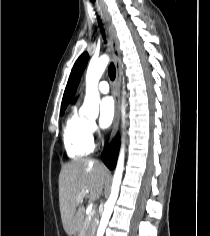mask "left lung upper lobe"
I'll return each instance as SVG.
<instances>
[{
    "label": "left lung upper lobe",
    "mask_w": 210,
    "mask_h": 236,
    "mask_svg": "<svg viewBox=\"0 0 210 236\" xmlns=\"http://www.w3.org/2000/svg\"><path fill=\"white\" fill-rule=\"evenodd\" d=\"M89 55L87 52L83 53L78 60L76 61L72 72L69 77V81L67 83L65 93L63 96V101H62V113L64 112L65 108L67 105L71 102L73 99L77 86L80 82V78L82 76V73L87 65Z\"/></svg>",
    "instance_id": "obj_1"
}]
</instances>
